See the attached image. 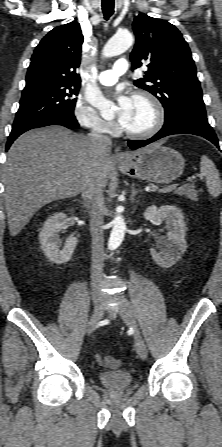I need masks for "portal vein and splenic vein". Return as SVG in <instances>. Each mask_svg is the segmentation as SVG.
I'll list each match as a JSON object with an SVG mask.
<instances>
[{
	"label": "portal vein and splenic vein",
	"mask_w": 222,
	"mask_h": 447,
	"mask_svg": "<svg viewBox=\"0 0 222 447\" xmlns=\"http://www.w3.org/2000/svg\"><path fill=\"white\" fill-rule=\"evenodd\" d=\"M177 186H178L177 183L169 184V185H167V186L161 188L159 191L162 192V193L169 192V191H172V190L176 189ZM150 189H151V188L148 187L146 190L149 191Z\"/></svg>",
	"instance_id": "1"
}]
</instances>
